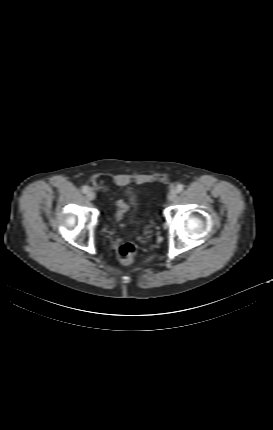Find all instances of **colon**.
I'll return each mask as SVG.
<instances>
[{
	"label": "colon",
	"mask_w": 273,
	"mask_h": 430,
	"mask_svg": "<svg viewBox=\"0 0 273 430\" xmlns=\"http://www.w3.org/2000/svg\"><path fill=\"white\" fill-rule=\"evenodd\" d=\"M116 206H117V211L115 214V218L117 221H120L123 218L124 214L127 212L128 207L122 201H118L116 203ZM136 253H137V249L134 244L124 243L118 249V258L123 264L130 265L134 262L136 258Z\"/></svg>",
	"instance_id": "obj_1"
}]
</instances>
